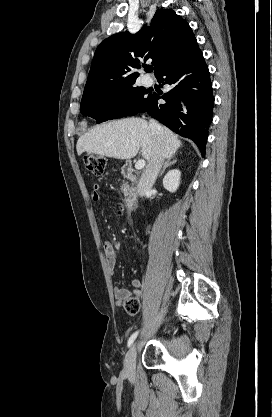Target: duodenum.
Returning a JSON list of instances; mask_svg holds the SVG:
<instances>
[{
	"instance_id": "410a0bca",
	"label": "duodenum",
	"mask_w": 272,
	"mask_h": 417,
	"mask_svg": "<svg viewBox=\"0 0 272 417\" xmlns=\"http://www.w3.org/2000/svg\"><path fill=\"white\" fill-rule=\"evenodd\" d=\"M123 175L130 180L131 185L125 189L123 205L127 211L131 210L137 198V182L138 175L135 172L131 163H125L122 166Z\"/></svg>"
}]
</instances>
